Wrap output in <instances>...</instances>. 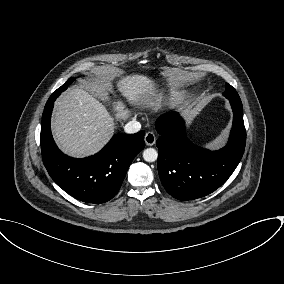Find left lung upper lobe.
<instances>
[{
	"mask_svg": "<svg viewBox=\"0 0 284 284\" xmlns=\"http://www.w3.org/2000/svg\"><path fill=\"white\" fill-rule=\"evenodd\" d=\"M223 95L229 100L241 102L240 97L238 93L236 92V90L228 83H226V89Z\"/></svg>",
	"mask_w": 284,
	"mask_h": 284,
	"instance_id": "1",
	"label": "left lung upper lobe"
}]
</instances>
